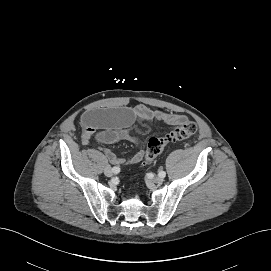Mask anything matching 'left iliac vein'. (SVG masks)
Masks as SVG:
<instances>
[{
	"label": "left iliac vein",
	"mask_w": 271,
	"mask_h": 271,
	"mask_svg": "<svg viewBox=\"0 0 271 271\" xmlns=\"http://www.w3.org/2000/svg\"><path fill=\"white\" fill-rule=\"evenodd\" d=\"M163 180H164V178L163 177H161V176H156L154 179H153V181L155 182V183H158V184H161L162 182H163Z\"/></svg>",
	"instance_id": "4c4485c4"
}]
</instances>
